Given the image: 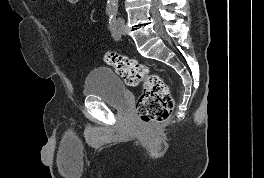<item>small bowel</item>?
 Returning <instances> with one entry per match:
<instances>
[{
	"mask_svg": "<svg viewBox=\"0 0 264 178\" xmlns=\"http://www.w3.org/2000/svg\"><path fill=\"white\" fill-rule=\"evenodd\" d=\"M35 1V0H32ZM72 6H78L82 0H66Z\"/></svg>",
	"mask_w": 264,
	"mask_h": 178,
	"instance_id": "1",
	"label": "small bowel"
}]
</instances>
